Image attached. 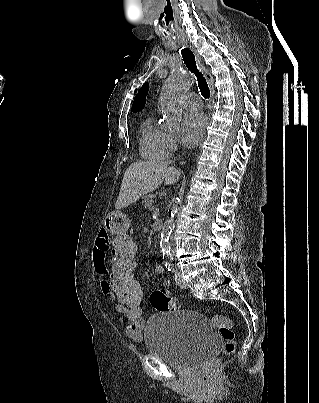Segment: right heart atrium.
Instances as JSON below:
<instances>
[{"label": "right heart atrium", "instance_id": "right-heart-atrium-1", "mask_svg": "<svg viewBox=\"0 0 319 403\" xmlns=\"http://www.w3.org/2000/svg\"><path fill=\"white\" fill-rule=\"evenodd\" d=\"M178 141L175 135L168 134L167 135V150L169 153H173L177 150Z\"/></svg>", "mask_w": 319, "mask_h": 403}]
</instances>
